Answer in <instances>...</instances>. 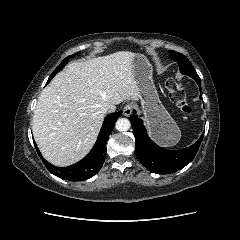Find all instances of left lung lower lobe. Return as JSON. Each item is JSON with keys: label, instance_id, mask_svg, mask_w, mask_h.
<instances>
[{"label": "left lung lower lobe", "instance_id": "0a47b994", "mask_svg": "<svg viewBox=\"0 0 240 240\" xmlns=\"http://www.w3.org/2000/svg\"><path fill=\"white\" fill-rule=\"evenodd\" d=\"M193 79L199 85L201 92L200 98L202 99L200 78L197 76L193 77ZM135 113L136 111H133V115L130 116L136 142L135 150L138 159L147 170L157 174L173 173L193 160L199 149L204 133L191 147L176 151L166 150L156 145L148 137L143 121L138 118Z\"/></svg>", "mask_w": 240, "mask_h": 240}]
</instances>
